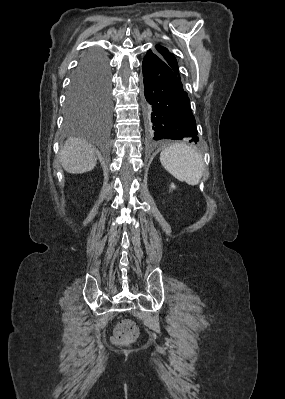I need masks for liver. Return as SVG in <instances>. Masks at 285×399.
<instances>
[{
  "label": "liver",
  "mask_w": 285,
  "mask_h": 399,
  "mask_svg": "<svg viewBox=\"0 0 285 399\" xmlns=\"http://www.w3.org/2000/svg\"><path fill=\"white\" fill-rule=\"evenodd\" d=\"M98 150L82 139H68L60 150V162L68 173L81 174L94 169Z\"/></svg>",
  "instance_id": "1"
}]
</instances>
